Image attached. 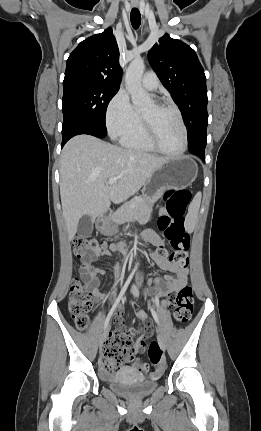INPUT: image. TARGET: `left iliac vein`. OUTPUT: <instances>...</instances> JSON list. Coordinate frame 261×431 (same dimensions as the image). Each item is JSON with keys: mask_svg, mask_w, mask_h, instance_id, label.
I'll use <instances>...</instances> for the list:
<instances>
[{"mask_svg": "<svg viewBox=\"0 0 261 431\" xmlns=\"http://www.w3.org/2000/svg\"><path fill=\"white\" fill-rule=\"evenodd\" d=\"M131 292L134 295V297H137L139 295L138 288L135 285L132 287ZM157 338H158V342H159L161 348L163 350H166L165 339H164V337H163V335H162L161 332H158Z\"/></svg>", "mask_w": 261, "mask_h": 431, "instance_id": "obj_1", "label": "left iliac vein"}]
</instances>
